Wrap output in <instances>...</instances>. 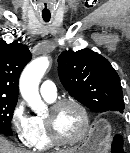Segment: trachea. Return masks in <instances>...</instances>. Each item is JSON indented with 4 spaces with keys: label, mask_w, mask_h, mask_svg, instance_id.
Instances as JSON below:
<instances>
[{
    "label": "trachea",
    "mask_w": 130,
    "mask_h": 153,
    "mask_svg": "<svg viewBox=\"0 0 130 153\" xmlns=\"http://www.w3.org/2000/svg\"><path fill=\"white\" fill-rule=\"evenodd\" d=\"M45 22H48L49 20L44 19Z\"/></svg>",
    "instance_id": "1"
}]
</instances>
